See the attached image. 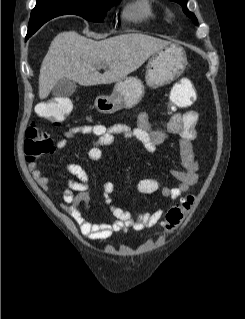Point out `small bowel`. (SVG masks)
I'll return each mask as SVG.
<instances>
[{
  "instance_id": "c3829d8e",
  "label": "small bowel",
  "mask_w": 245,
  "mask_h": 319,
  "mask_svg": "<svg viewBox=\"0 0 245 319\" xmlns=\"http://www.w3.org/2000/svg\"><path fill=\"white\" fill-rule=\"evenodd\" d=\"M172 91L174 93L182 92L189 105L196 100L195 90L188 78L178 80ZM198 119L199 115L195 110H188L183 113L177 112L171 115L165 130H156L151 126L148 113L141 112L137 116L136 126L116 124L107 127L96 124L72 127L56 141L55 149H65L68 140L74 139L80 134L94 135L97 140L95 145L89 149L88 157L91 161L97 162L102 158V147L113 144L115 136L135 141L150 153H153L157 146L169 137H176L182 166V168L170 170L176 184L166 186L161 185L155 178H144L138 181L137 190L142 194L160 192L166 198L177 200L198 181L199 164L191 144L198 137ZM64 169L70 176L76 177L77 180L68 177L66 179L67 187L62 192H57L51 186L49 178L42 175L35 164L30 165V171L40 187L52 196L61 197V208L73 218L80 231L91 240H104L116 232H126L130 228L143 231L155 226L164 214V208H160L154 212H141L134 217L129 211L115 204L114 193L116 187L113 182L108 181L103 184L102 196L114 220L111 222L88 221L83 216L80 205L84 204L85 209L90 210L91 197L87 191L89 176L82 166L74 162H66Z\"/></svg>"
}]
</instances>
